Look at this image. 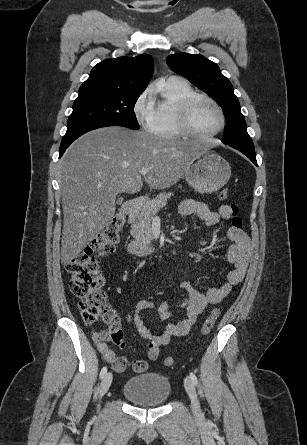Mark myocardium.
Instances as JSON below:
<instances>
[{"mask_svg": "<svg viewBox=\"0 0 307 445\" xmlns=\"http://www.w3.org/2000/svg\"><path fill=\"white\" fill-rule=\"evenodd\" d=\"M199 101L209 102V103L213 104L220 111L221 116H222V125L216 131H213L210 133H203L195 125L192 112H193L195 105ZM175 113H176L178 119L180 120V123H181L182 127L184 128L186 134L191 135L192 137L190 139H193V140L214 137V136L218 135L219 133H221L226 128V126L228 124V116H227V113H226L224 107L215 99L211 98L208 95H204V94H198V93L196 94L195 93L194 95L190 96L189 98H187L185 101H183L181 104H179L177 106V108L175 109Z\"/></svg>", "mask_w": 307, "mask_h": 445, "instance_id": "obj_1", "label": "myocardium"}]
</instances>
